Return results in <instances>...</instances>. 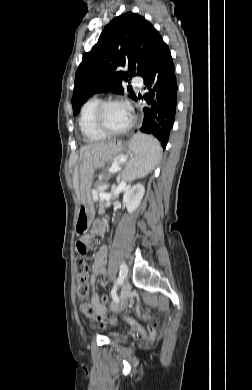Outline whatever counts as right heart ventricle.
<instances>
[{
  "label": "right heart ventricle",
  "mask_w": 252,
  "mask_h": 390,
  "mask_svg": "<svg viewBox=\"0 0 252 390\" xmlns=\"http://www.w3.org/2000/svg\"><path fill=\"white\" fill-rule=\"evenodd\" d=\"M100 101L99 98L92 97L83 104L80 111L79 127L87 142L95 143L106 138L96 129L93 122V113Z\"/></svg>",
  "instance_id": "1"
}]
</instances>
